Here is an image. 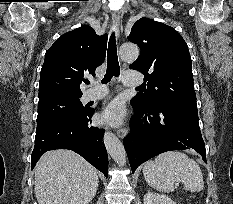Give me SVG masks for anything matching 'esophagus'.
Returning <instances> with one entry per match:
<instances>
[{
	"instance_id": "esophagus-1",
	"label": "esophagus",
	"mask_w": 233,
	"mask_h": 204,
	"mask_svg": "<svg viewBox=\"0 0 233 204\" xmlns=\"http://www.w3.org/2000/svg\"><path fill=\"white\" fill-rule=\"evenodd\" d=\"M112 20H113V24H114V26L116 28V35L118 36L119 35V29H120V27L122 25V20H121L120 14L118 12H113L112 13ZM116 133H117L118 137L124 138L127 135L128 130L125 127H120V128L117 129Z\"/></svg>"
}]
</instances>
